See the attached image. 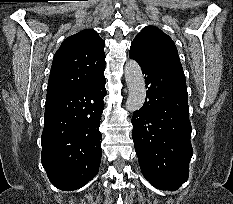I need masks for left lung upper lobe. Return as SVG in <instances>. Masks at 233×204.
Returning <instances> with one entry per match:
<instances>
[{"label": "left lung upper lobe", "mask_w": 233, "mask_h": 204, "mask_svg": "<svg viewBox=\"0 0 233 204\" xmlns=\"http://www.w3.org/2000/svg\"><path fill=\"white\" fill-rule=\"evenodd\" d=\"M130 53L172 70L182 71L172 39L155 26H147L131 43Z\"/></svg>", "instance_id": "left-lung-upper-lobe-1"}]
</instances>
